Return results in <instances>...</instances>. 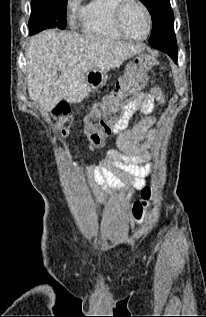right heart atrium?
Returning a JSON list of instances; mask_svg holds the SVG:
<instances>
[{"label":"right heart atrium","mask_w":206,"mask_h":317,"mask_svg":"<svg viewBox=\"0 0 206 317\" xmlns=\"http://www.w3.org/2000/svg\"><path fill=\"white\" fill-rule=\"evenodd\" d=\"M67 7L71 11L80 10L81 0H67Z\"/></svg>","instance_id":"obj_1"}]
</instances>
